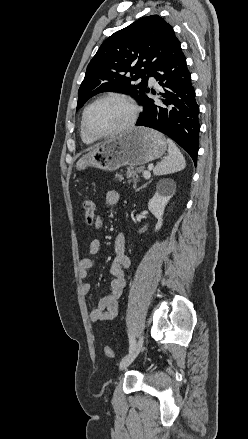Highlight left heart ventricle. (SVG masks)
Wrapping results in <instances>:
<instances>
[{"label":"left heart ventricle","mask_w":248,"mask_h":439,"mask_svg":"<svg viewBox=\"0 0 248 439\" xmlns=\"http://www.w3.org/2000/svg\"><path fill=\"white\" fill-rule=\"evenodd\" d=\"M131 115L129 107L121 101L106 99L95 104L88 112L87 125L95 133L116 130L127 123Z\"/></svg>","instance_id":"left-heart-ventricle-1"}]
</instances>
